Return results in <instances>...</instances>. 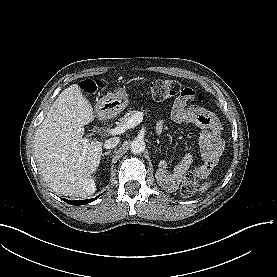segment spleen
Returning a JSON list of instances; mask_svg holds the SVG:
<instances>
[{
  "instance_id": "obj_1",
  "label": "spleen",
  "mask_w": 277,
  "mask_h": 277,
  "mask_svg": "<svg viewBox=\"0 0 277 277\" xmlns=\"http://www.w3.org/2000/svg\"><path fill=\"white\" fill-rule=\"evenodd\" d=\"M211 184H212L211 181L206 182L204 185H202V186L200 187V191H201V192H205V191L211 186Z\"/></svg>"
}]
</instances>
